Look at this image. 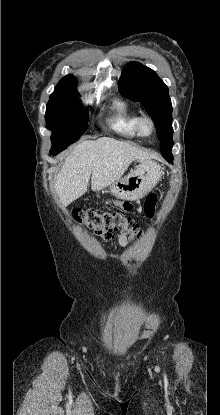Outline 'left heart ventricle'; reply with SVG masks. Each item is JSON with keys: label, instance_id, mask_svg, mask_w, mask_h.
I'll use <instances>...</instances> for the list:
<instances>
[{"label": "left heart ventricle", "instance_id": "left-heart-ventricle-1", "mask_svg": "<svg viewBox=\"0 0 220 415\" xmlns=\"http://www.w3.org/2000/svg\"><path fill=\"white\" fill-rule=\"evenodd\" d=\"M142 129H143V131L146 133V134H148V133H150V125L148 124V123H144L143 125H142Z\"/></svg>", "mask_w": 220, "mask_h": 415}]
</instances>
